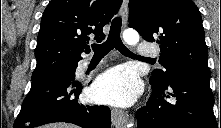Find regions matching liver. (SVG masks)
<instances>
[{
    "instance_id": "obj_1",
    "label": "liver",
    "mask_w": 221,
    "mask_h": 128,
    "mask_svg": "<svg viewBox=\"0 0 221 128\" xmlns=\"http://www.w3.org/2000/svg\"><path fill=\"white\" fill-rule=\"evenodd\" d=\"M42 128H77V126L67 123H52L44 125Z\"/></svg>"
}]
</instances>
